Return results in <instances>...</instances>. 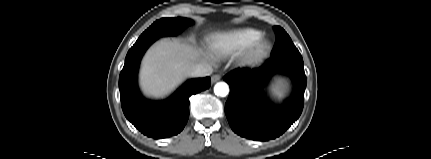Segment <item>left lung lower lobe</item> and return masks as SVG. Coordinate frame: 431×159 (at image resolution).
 Returning <instances> with one entry per match:
<instances>
[{"label": "left lung lower lobe", "mask_w": 431, "mask_h": 159, "mask_svg": "<svg viewBox=\"0 0 431 159\" xmlns=\"http://www.w3.org/2000/svg\"><path fill=\"white\" fill-rule=\"evenodd\" d=\"M285 74L295 88L281 107L272 106L260 93L263 80ZM230 85L225 113L231 129L254 141H268L282 135L300 116L304 104L306 75L303 59L270 58L259 68H238L223 77Z\"/></svg>", "instance_id": "left-lung-lower-lobe-1"}]
</instances>
